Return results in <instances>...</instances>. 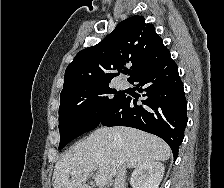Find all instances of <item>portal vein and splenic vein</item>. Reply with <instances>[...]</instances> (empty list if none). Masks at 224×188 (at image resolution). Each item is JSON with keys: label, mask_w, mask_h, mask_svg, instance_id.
I'll list each match as a JSON object with an SVG mask.
<instances>
[{"label": "portal vein and splenic vein", "mask_w": 224, "mask_h": 188, "mask_svg": "<svg viewBox=\"0 0 224 188\" xmlns=\"http://www.w3.org/2000/svg\"><path fill=\"white\" fill-rule=\"evenodd\" d=\"M94 170H95L94 167H89V168L84 169L82 171H89V172H91V171H94ZM82 171H74V172L71 173V175L74 176V175L80 174ZM95 182H96V185L98 187L102 188V187L106 186L107 178L105 176H102V175L98 174V175L95 176Z\"/></svg>", "instance_id": "1"}]
</instances>
